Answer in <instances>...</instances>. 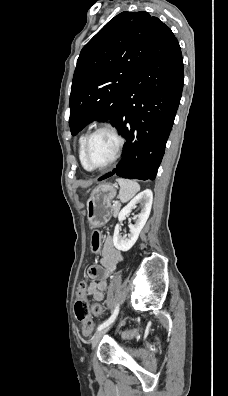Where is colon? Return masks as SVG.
Returning a JSON list of instances; mask_svg holds the SVG:
<instances>
[{
	"label": "colon",
	"mask_w": 228,
	"mask_h": 396,
	"mask_svg": "<svg viewBox=\"0 0 228 396\" xmlns=\"http://www.w3.org/2000/svg\"><path fill=\"white\" fill-rule=\"evenodd\" d=\"M101 243V236L98 231H94L92 235V249L94 252L99 250ZM87 290V285L84 282H81L77 292V299L74 304V313L76 319L81 323L82 330L84 334L91 333L93 329L92 316H100L102 313V308L99 304L90 305L85 297V293ZM139 330L131 331L127 334L129 337H134L139 335Z\"/></svg>",
	"instance_id": "1"
}]
</instances>
